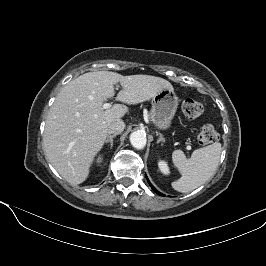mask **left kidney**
Wrapping results in <instances>:
<instances>
[{"mask_svg":"<svg viewBox=\"0 0 266 266\" xmlns=\"http://www.w3.org/2000/svg\"><path fill=\"white\" fill-rule=\"evenodd\" d=\"M158 167L163 174L168 175L170 173L169 167L165 161H159Z\"/></svg>","mask_w":266,"mask_h":266,"instance_id":"obj_1","label":"left kidney"}]
</instances>
